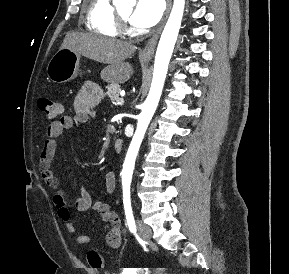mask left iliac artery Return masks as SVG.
<instances>
[{"label":"left iliac artery","instance_id":"left-iliac-artery-1","mask_svg":"<svg viewBox=\"0 0 289 274\" xmlns=\"http://www.w3.org/2000/svg\"><path fill=\"white\" fill-rule=\"evenodd\" d=\"M123 203H124V210L126 215L127 225L131 233L136 232V225L133 216L132 206H131V199H130V189L127 187L123 188Z\"/></svg>","mask_w":289,"mask_h":274}]
</instances>
